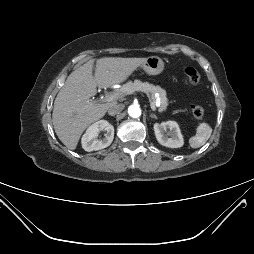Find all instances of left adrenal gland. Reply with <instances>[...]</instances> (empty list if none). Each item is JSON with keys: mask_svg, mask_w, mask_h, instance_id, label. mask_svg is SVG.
Segmentation results:
<instances>
[{"mask_svg": "<svg viewBox=\"0 0 254 254\" xmlns=\"http://www.w3.org/2000/svg\"><path fill=\"white\" fill-rule=\"evenodd\" d=\"M150 117H151V118H154V119H157V116H156V114H154V113H151V114H150Z\"/></svg>", "mask_w": 254, "mask_h": 254, "instance_id": "obj_1", "label": "left adrenal gland"}]
</instances>
